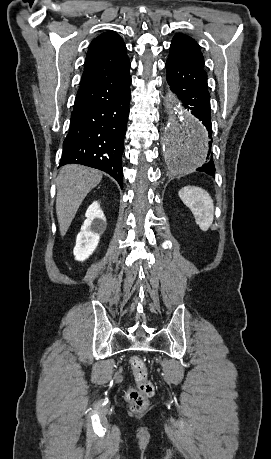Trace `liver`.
<instances>
[{
	"label": "liver",
	"instance_id": "6515ba94",
	"mask_svg": "<svg viewBox=\"0 0 271 459\" xmlns=\"http://www.w3.org/2000/svg\"><path fill=\"white\" fill-rule=\"evenodd\" d=\"M102 180V172L68 164L57 178L56 212L61 235H65L85 196Z\"/></svg>",
	"mask_w": 271,
	"mask_h": 459
}]
</instances>
